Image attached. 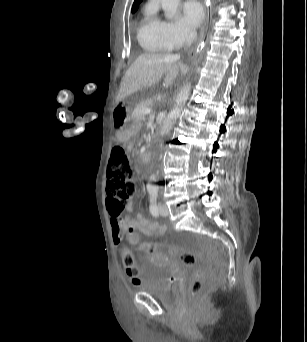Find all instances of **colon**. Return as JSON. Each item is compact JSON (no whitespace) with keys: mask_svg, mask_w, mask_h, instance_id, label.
Instances as JSON below:
<instances>
[{"mask_svg":"<svg viewBox=\"0 0 307 342\" xmlns=\"http://www.w3.org/2000/svg\"><path fill=\"white\" fill-rule=\"evenodd\" d=\"M130 170V165L128 162V157L122 146H115L111 150L108 178H107V193L108 198L111 199V209L110 212L120 218V216L128 208V199L134 194L135 185L129 179L128 172ZM127 234L129 236L130 242L138 241V232L134 231L133 226L127 227ZM138 251H146L147 253H155L157 247L155 244H138ZM172 257H179L181 262L185 264V268L190 269L191 281L186 282V287L190 288L189 293L186 296L188 307H199V296L202 293L201 288H203L204 283H206L205 269L198 266V261H195V257L192 252L182 250L180 246L171 247ZM125 253L123 261L126 268L127 276L130 282L138 286L141 284V277L138 270L134 268L135 258L129 253L130 249L125 247L123 249Z\"/></svg>","mask_w":307,"mask_h":342,"instance_id":"colon-1","label":"colon"}]
</instances>
